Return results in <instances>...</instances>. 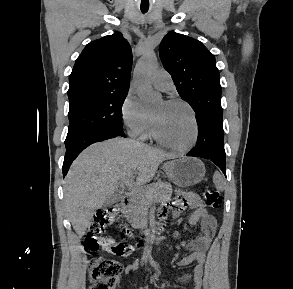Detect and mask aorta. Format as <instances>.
Segmentation results:
<instances>
[{"mask_svg": "<svg viewBox=\"0 0 293 289\" xmlns=\"http://www.w3.org/2000/svg\"><path fill=\"white\" fill-rule=\"evenodd\" d=\"M157 70L156 57L148 53L136 65L134 71V87L145 105L153 106L161 102L162 96L153 90L151 77Z\"/></svg>", "mask_w": 293, "mask_h": 289, "instance_id": "aorta-1", "label": "aorta"}]
</instances>
